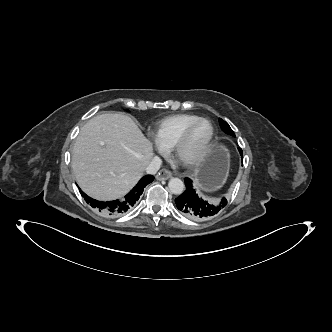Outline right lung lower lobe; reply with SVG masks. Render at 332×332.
Segmentation results:
<instances>
[{
  "label": "right lung lower lobe",
  "mask_w": 332,
  "mask_h": 332,
  "mask_svg": "<svg viewBox=\"0 0 332 332\" xmlns=\"http://www.w3.org/2000/svg\"><path fill=\"white\" fill-rule=\"evenodd\" d=\"M154 177L152 175H146L140 179L138 184L125 196L122 201L116 200L112 202H102L87 196L81 189L80 193L93 208L97 207L100 210L108 213L109 215L123 214L129 211L136 201H138L140 195L143 193L144 187L153 181Z\"/></svg>",
  "instance_id": "obj_1"
}]
</instances>
